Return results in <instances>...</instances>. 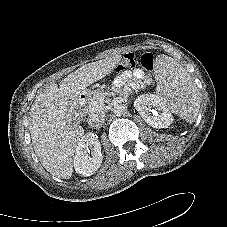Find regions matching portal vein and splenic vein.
<instances>
[{"label":"portal vein and splenic vein","mask_w":227,"mask_h":227,"mask_svg":"<svg viewBox=\"0 0 227 227\" xmlns=\"http://www.w3.org/2000/svg\"><path fill=\"white\" fill-rule=\"evenodd\" d=\"M103 100H104V96H103L102 98H101V97H97V101H98L99 103H102Z\"/></svg>","instance_id":"obj_1"}]
</instances>
